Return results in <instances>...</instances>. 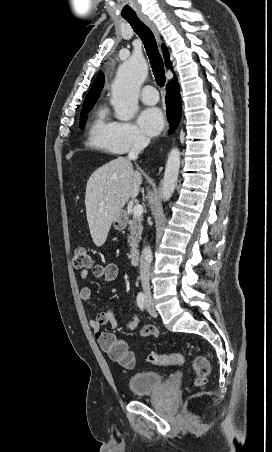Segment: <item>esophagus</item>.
Returning <instances> with one entry per match:
<instances>
[{
    "label": "esophagus",
    "mask_w": 272,
    "mask_h": 452,
    "mask_svg": "<svg viewBox=\"0 0 272 452\" xmlns=\"http://www.w3.org/2000/svg\"><path fill=\"white\" fill-rule=\"evenodd\" d=\"M139 18L152 30L156 39L160 42V35L155 24L146 15L141 14L139 15ZM167 130L168 126L166 127L164 135L166 134Z\"/></svg>",
    "instance_id": "obj_1"
}]
</instances>
